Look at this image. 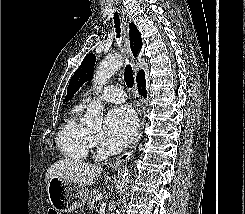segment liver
Instances as JSON below:
<instances>
[{
    "label": "liver",
    "mask_w": 245,
    "mask_h": 214,
    "mask_svg": "<svg viewBox=\"0 0 245 214\" xmlns=\"http://www.w3.org/2000/svg\"><path fill=\"white\" fill-rule=\"evenodd\" d=\"M102 173L100 165L83 164L71 159H62L53 163L45 174V182L52 177L73 182L80 186L92 185Z\"/></svg>",
    "instance_id": "6515ba94"
}]
</instances>
